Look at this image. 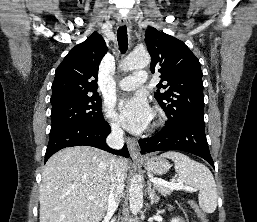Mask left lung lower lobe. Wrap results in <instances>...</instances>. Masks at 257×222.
Listing matches in <instances>:
<instances>
[{"label": "left lung lower lobe", "mask_w": 257, "mask_h": 222, "mask_svg": "<svg viewBox=\"0 0 257 222\" xmlns=\"http://www.w3.org/2000/svg\"><path fill=\"white\" fill-rule=\"evenodd\" d=\"M141 154L154 151L181 150L202 157L214 168L202 119H186L165 127L150 138L139 140Z\"/></svg>", "instance_id": "1"}]
</instances>
